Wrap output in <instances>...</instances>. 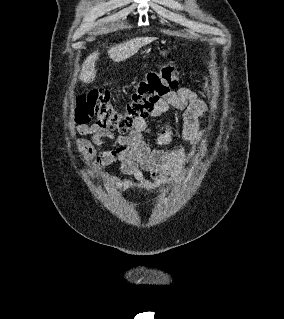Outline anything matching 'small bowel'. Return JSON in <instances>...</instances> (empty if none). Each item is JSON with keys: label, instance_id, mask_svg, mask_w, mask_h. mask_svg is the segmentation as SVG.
Segmentation results:
<instances>
[{"label": "small bowel", "instance_id": "1", "mask_svg": "<svg viewBox=\"0 0 284 319\" xmlns=\"http://www.w3.org/2000/svg\"><path fill=\"white\" fill-rule=\"evenodd\" d=\"M170 108L183 111L182 138L190 144L198 145L204 138L200 118L207 112L205 101L193 91L180 88L161 98L154 106L151 117L162 118ZM76 132L91 136V141L78 139L76 148L83 161L93 163L95 173L113 162H119L122 173L147 192L162 187L167 179L178 178L183 174L180 149L152 148L147 143L146 136L151 129L146 120L137 122L127 135L116 136L98 124L80 125ZM174 137L173 127L165 122L163 131L154 137V141L157 146L165 147L173 142ZM104 143H111L115 148L97 154L94 145ZM145 172L149 177L145 176ZM113 182L122 188L128 184L120 179H113Z\"/></svg>", "mask_w": 284, "mask_h": 319}]
</instances>
